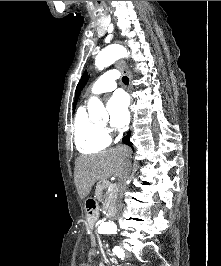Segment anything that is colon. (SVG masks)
Returning <instances> with one entry per match:
<instances>
[{"label":"colon","instance_id":"5ec220e1","mask_svg":"<svg viewBox=\"0 0 221 266\" xmlns=\"http://www.w3.org/2000/svg\"><path fill=\"white\" fill-rule=\"evenodd\" d=\"M81 266H86L85 264H82Z\"/></svg>","mask_w":221,"mask_h":266}]
</instances>
